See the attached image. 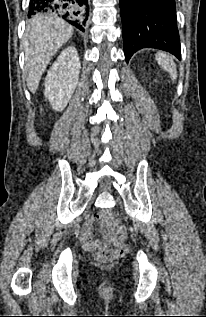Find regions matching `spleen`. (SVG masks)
<instances>
[{
  "label": "spleen",
  "instance_id": "1",
  "mask_svg": "<svg viewBox=\"0 0 206 317\" xmlns=\"http://www.w3.org/2000/svg\"><path fill=\"white\" fill-rule=\"evenodd\" d=\"M156 60L158 64L170 74V77L174 82L177 78V70L173 59L167 54L158 53L156 54Z\"/></svg>",
  "mask_w": 206,
  "mask_h": 317
}]
</instances>
